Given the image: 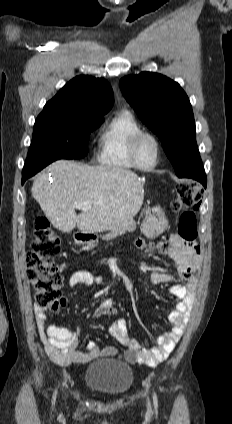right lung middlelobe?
<instances>
[{"label":"right lung middle lobe","mask_w":232,"mask_h":424,"mask_svg":"<svg viewBox=\"0 0 232 424\" xmlns=\"http://www.w3.org/2000/svg\"><path fill=\"white\" fill-rule=\"evenodd\" d=\"M103 121L76 111H42L35 120L23 171L58 159L83 158L88 153L89 134Z\"/></svg>","instance_id":"dd1d6c3e"}]
</instances>
